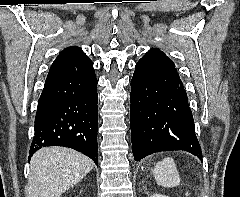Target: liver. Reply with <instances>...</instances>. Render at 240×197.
I'll return each mask as SVG.
<instances>
[{"mask_svg": "<svg viewBox=\"0 0 240 197\" xmlns=\"http://www.w3.org/2000/svg\"><path fill=\"white\" fill-rule=\"evenodd\" d=\"M27 197H60L94 167L87 156L70 148L52 146L31 158Z\"/></svg>", "mask_w": 240, "mask_h": 197, "instance_id": "1", "label": "liver"}]
</instances>
